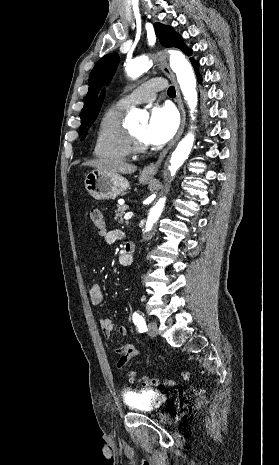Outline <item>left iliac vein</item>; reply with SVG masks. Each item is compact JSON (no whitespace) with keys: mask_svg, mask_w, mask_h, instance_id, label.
I'll list each match as a JSON object with an SVG mask.
<instances>
[{"mask_svg":"<svg viewBox=\"0 0 279 465\" xmlns=\"http://www.w3.org/2000/svg\"><path fill=\"white\" fill-rule=\"evenodd\" d=\"M147 331L150 336L155 337L158 333V326L156 322L154 321L149 322L147 324Z\"/></svg>","mask_w":279,"mask_h":465,"instance_id":"1","label":"left iliac vein"}]
</instances>
